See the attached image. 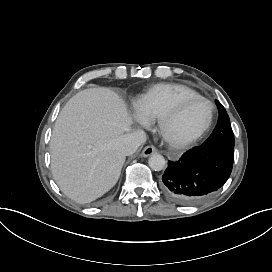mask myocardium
Masks as SVG:
<instances>
[{
  "mask_svg": "<svg viewBox=\"0 0 272 272\" xmlns=\"http://www.w3.org/2000/svg\"><path fill=\"white\" fill-rule=\"evenodd\" d=\"M195 100H200L205 102L209 108V116H208L207 122L198 130H195L189 133L180 132L178 130H175L174 128L171 130L169 121L167 119V115L163 116L161 127L164 134L167 136H170L178 144H186L199 138L201 135L207 132L213 124L215 112H216L215 105L208 98L198 94L184 97L183 99H181L179 103L174 107L173 112L175 113V117L180 115L184 111V109L187 107V105L190 102Z\"/></svg>",
  "mask_w": 272,
  "mask_h": 272,
  "instance_id": "obj_1",
  "label": "myocardium"
}]
</instances>
